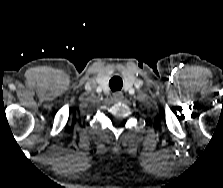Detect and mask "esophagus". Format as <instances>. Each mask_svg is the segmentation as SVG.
<instances>
[{"mask_svg": "<svg viewBox=\"0 0 223 188\" xmlns=\"http://www.w3.org/2000/svg\"><path fill=\"white\" fill-rule=\"evenodd\" d=\"M115 99H116L117 101H119V100L121 99V96H120L119 93H116V95H115Z\"/></svg>", "mask_w": 223, "mask_h": 188, "instance_id": "obj_1", "label": "esophagus"}]
</instances>
